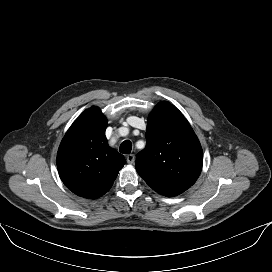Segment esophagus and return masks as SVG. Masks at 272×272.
<instances>
[{
  "label": "esophagus",
  "mask_w": 272,
  "mask_h": 272,
  "mask_svg": "<svg viewBox=\"0 0 272 272\" xmlns=\"http://www.w3.org/2000/svg\"><path fill=\"white\" fill-rule=\"evenodd\" d=\"M126 160H127L128 164H134V162H135V156L133 154H129L126 157Z\"/></svg>",
  "instance_id": "1"
}]
</instances>
